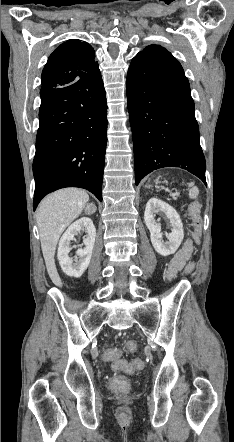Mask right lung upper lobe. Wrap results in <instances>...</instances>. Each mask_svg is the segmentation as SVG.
I'll return each mask as SVG.
<instances>
[{
	"mask_svg": "<svg viewBox=\"0 0 234 442\" xmlns=\"http://www.w3.org/2000/svg\"><path fill=\"white\" fill-rule=\"evenodd\" d=\"M91 45L77 39L62 43L50 55L42 72V88L70 85L98 67Z\"/></svg>",
	"mask_w": 234,
	"mask_h": 442,
	"instance_id": "right-lung-upper-lobe-1",
	"label": "right lung upper lobe"
}]
</instances>
